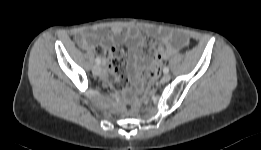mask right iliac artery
Returning a JSON list of instances; mask_svg holds the SVG:
<instances>
[{
	"mask_svg": "<svg viewBox=\"0 0 261 150\" xmlns=\"http://www.w3.org/2000/svg\"><path fill=\"white\" fill-rule=\"evenodd\" d=\"M95 62H96L97 65H99L101 63V60L97 57Z\"/></svg>",
	"mask_w": 261,
	"mask_h": 150,
	"instance_id": "obj_1",
	"label": "right iliac artery"
}]
</instances>
